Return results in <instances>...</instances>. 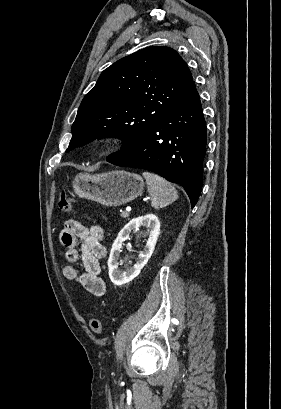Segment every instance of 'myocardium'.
Returning a JSON list of instances; mask_svg holds the SVG:
<instances>
[{
	"mask_svg": "<svg viewBox=\"0 0 281 409\" xmlns=\"http://www.w3.org/2000/svg\"><path fill=\"white\" fill-rule=\"evenodd\" d=\"M111 142H112V139H106V140L103 141V144L104 145H109V144H111Z\"/></svg>",
	"mask_w": 281,
	"mask_h": 409,
	"instance_id": "myocardium-1",
	"label": "myocardium"
}]
</instances>
